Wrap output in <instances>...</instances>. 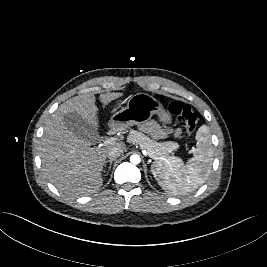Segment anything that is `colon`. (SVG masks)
Wrapping results in <instances>:
<instances>
[{"instance_id":"1","label":"colon","mask_w":267,"mask_h":267,"mask_svg":"<svg viewBox=\"0 0 267 267\" xmlns=\"http://www.w3.org/2000/svg\"><path fill=\"white\" fill-rule=\"evenodd\" d=\"M169 111L184 125L188 135H191L199 120V114L189 105L181 101H171L168 105Z\"/></svg>"}]
</instances>
